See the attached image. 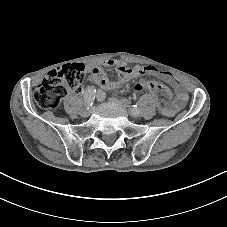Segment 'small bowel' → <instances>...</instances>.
Segmentation results:
<instances>
[{
  "label": "small bowel",
  "mask_w": 227,
  "mask_h": 227,
  "mask_svg": "<svg viewBox=\"0 0 227 227\" xmlns=\"http://www.w3.org/2000/svg\"><path fill=\"white\" fill-rule=\"evenodd\" d=\"M104 66L114 67L117 73L120 75V79L116 82L109 81L106 78L105 73L102 69V67ZM86 70L89 74V77L95 82H97L102 89L107 91H113L126 81L136 78L143 74H152L159 77L160 79L164 80L165 82L172 86L176 95V99L173 105L171 107L162 109V112L165 115L175 114L178 110H180L183 107L184 103L188 99L187 93L183 85L177 78H175L171 73L167 71H161L152 66L147 67H143L140 65L128 66L124 61L109 59L96 65H88L86 67ZM96 95L99 100H102L105 97V93L103 90H97Z\"/></svg>",
  "instance_id": "c3829d8e"
}]
</instances>
